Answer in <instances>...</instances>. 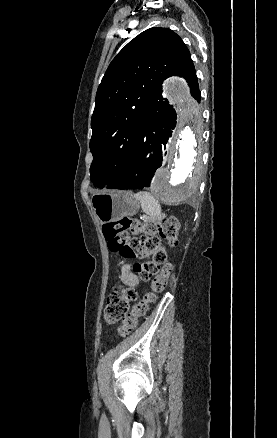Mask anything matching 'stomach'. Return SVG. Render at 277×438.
I'll list each match as a JSON object with an SVG mask.
<instances>
[{
	"label": "stomach",
	"instance_id": "stomach-1",
	"mask_svg": "<svg viewBox=\"0 0 277 438\" xmlns=\"http://www.w3.org/2000/svg\"><path fill=\"white\" fill-rule=\"evenodd\" d=\"M92 207L101 224L117 222L126 216H133L139 209V202L128 191L112 190L92 196Z\"/></svg>",
	"mask_w": 277,
	"mask_h": 438
}]
</instances>
